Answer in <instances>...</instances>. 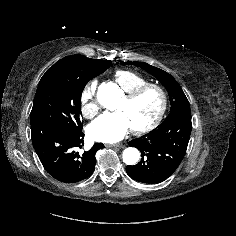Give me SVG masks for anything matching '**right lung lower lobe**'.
<instances>
[{
  "label": "right lung lower lobe",
  "mask_w": 236,
  "mask_h": 236,
  "mask_svg": "<svg viewBox=\"0 0 236 236\" xmlns=\"http://www.w3.org/2000/svg\"><path fill=\"white\" fill-rule=\"evenodd\" d=\"M32 144L45 170L56 180L75 183L92 175L96 152L103 148L95 143L89 151L77 152L82 148L84 133L70 132L62 127L36 123L31 124Z\"/></svg>",
  "instance_id": "98d812e1"
}]
</instances>
